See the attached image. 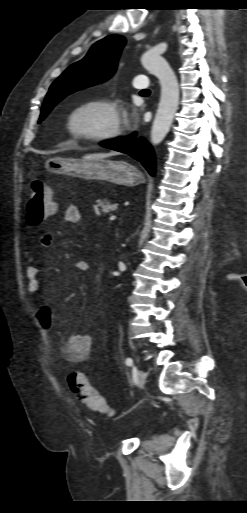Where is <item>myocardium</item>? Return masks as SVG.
<instances>
[{
  "mask_svg": "<svg viewBox=\"0 0 247 513\" xmlns=\"http://www.w3.org/2000/svg\"><path fill=\"white\" fill-rule=\"evenodd\" d=\"M94 108L106 110L112 117V124L107 129L99 132H89L78 129L75 124L77 116L85 110ZM64 127L66 132L74 139L104 142L120 135L122 132V121L119 109L114 101L94 97L81 100L71 106L65 113Z\"/></svg>",
  "mask_w": 247,
  "mask_h": 513,
  "instance_id": "obj_1",
  "label": "myocardium"
}]
</instances>
